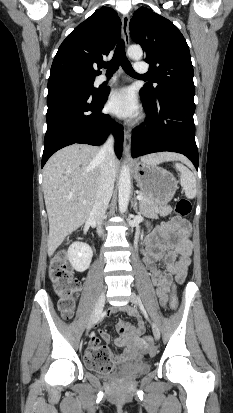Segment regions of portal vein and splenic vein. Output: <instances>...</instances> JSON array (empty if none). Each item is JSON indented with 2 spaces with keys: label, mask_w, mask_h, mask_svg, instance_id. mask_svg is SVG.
<instances>
[{
  "label": "portal vein and splenic vein",
  "mask_w": 233,
  "mask_h": 413,
  "mask_svg": "<svg viewBox=\"0 0 233 413\" xmlns=\"http://www.w3.org/2000/svg\"><path fill=\"white\" fill-rule=\"evenodd\" d=\"M137 199H138V200H142V199H143L142 195L138 194V195H137ZM83 203L85 204L86 202H83Z\"/></svg>",
  "instance_id": "portal-vein-and-splenic-vein-1"
}]
</instances>
